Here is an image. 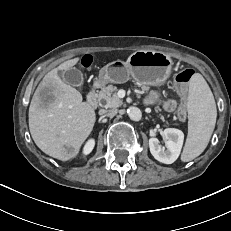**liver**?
I'll list each match as a JSON object with an SVG mask.
<instances>
[{
    "mask_svg": "<svg viewBox=\"0 0 231 231\" xmlns=\"http://www.w3.org/2000/svg\"><path fill=\"white\" fill-rule=\"evenodd\" d=\"M69 59L49 71L39 84L29 107V130L35 144L47 155L67 161L91 134L96 114L79 91L65 83L58 71L76 65Z\"/></svg>",
    "mask_w": 231,
    "mask_h": 231,
    "instance_id": "6515ba94",
    "label": "liver"
}]
</instances>
